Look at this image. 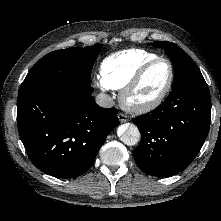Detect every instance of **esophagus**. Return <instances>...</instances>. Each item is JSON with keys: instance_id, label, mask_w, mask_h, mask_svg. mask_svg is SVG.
<instances>
[{"instance_id": "obj_1", "label": "esophagus", "mask_w": 221, "mask_h": 221, "mask_svg": "<svg viewBox=\"0 0 221 221\" xmlns=\"http://www.w3.org/2000/svg\"><path fill=\"white\" fill-rule=\"evenodd\" d=\"M118 119L121 123L126 122L129 120L128 116L123 114V113H119L118 114Z\"/></svg>"}]
</instances>
